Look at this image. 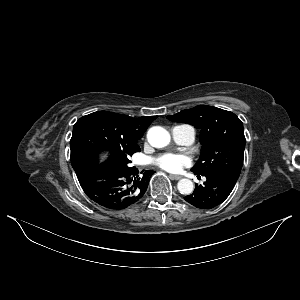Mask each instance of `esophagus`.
Masks as SVG:
<instances>
[{
	"label": "esophagus",
	"mask_w": 300,
	"mask_h": 300,
	"mask_svg": "<svg viewBox=\"0 0 300 300\" xmlns=\"http://www.w3.org/2000/svg\"><path fill=\"white\" fill-rule=\"evenodd\" d=\"M170 178L173 180H180L182 178V176L180 175H170Z\"/></svg>",
	"instance_id": "34e87169"
}]
</instances>
